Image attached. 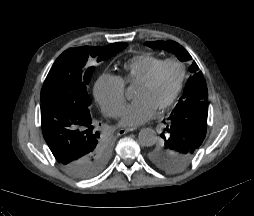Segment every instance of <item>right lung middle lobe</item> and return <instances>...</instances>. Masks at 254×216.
I'll use <instances>...</instances> for the list:
<instances>
[{"label":"right lung middle lobe","instance_id":"1","mask_svg":"<svg viewBox=\"0 0 254 216\" xmlns=\"http://www.w3.org/2000/svg\"><path fill=\"white\" fill-rule=\"evenodd\" d=\"M127 45L119 42L104 47L83 46L67 49L57 58L45 79L41 91V102L53 97H63L81 108L88 109L91 101L86 88L94 71V66H88L89 61L91 59H97V62L106 60ZM93 131L101 142L98 156L100 172L110 157L111 148L105 136L100 134L97 128ZM70 173L74 174V171Z\"/></svg>","mask_w":254,"mask_h":216}]
</instances>
